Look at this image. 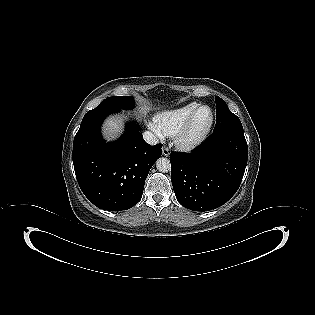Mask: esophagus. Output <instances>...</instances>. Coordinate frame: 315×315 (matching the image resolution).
I'll use <instances>...</instances> for the list:
<instances>
[{"label":"esophagus","mask_w":315,"mask_h":315,"mask_svg":"<svg viewBox=\"0 0 315 315\" xmlns=\"http://www.w3.org/2000/svg\"><path fill=\"white\" fill-rule=\"evenodd\" d=\"M162 154L166 157L170 155V150L167 147L162 148Z\"/></svg>","instance_id":"obj_1"}]
</instances>
